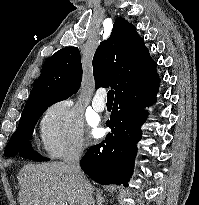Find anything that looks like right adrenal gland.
<instances>
[{"mask_svg":"<svg viewBox=\"0 0 199 205\" xmlns=\"http://www.w3.org/2000/svg\"><path fill=\"white\" fill-rule=\"evenodd\" d=\"M96 197H97V204L98 205H102V203L104 202V197L102 196V192H100L99 190L96 193Z\"/></svg>","mask_w":199,"mask_h":205,"instance_id":"2a0ac1e0","label":"right adrenal gland"}]
</instances>
